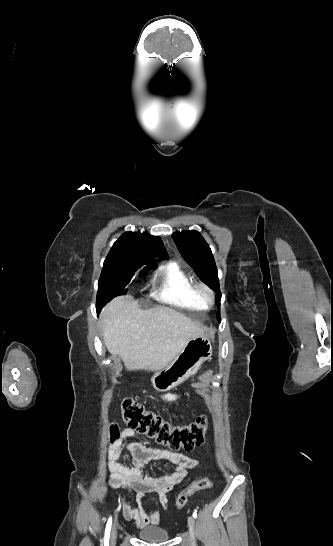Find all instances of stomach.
<instances>
[{
	"mask_svg": "<svg viewBox=\"0 0 333 546\" xmlns=\"http://www.w3.org/2000/svg\"><path fill=\"white\" fill-rule=\"evenodd\" d=\"M212 343L208 336L192 338L182 351L152 377L153 386L159 391H169L195 374L203 362L212 356Z\"/></svg>",
	"mask_w": 333,
	"mask_h": 546,
	"instance_id": "1",
	"label": "stomach"
}]
</instances>
